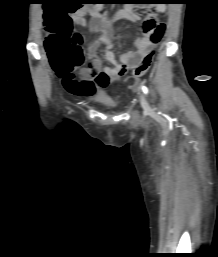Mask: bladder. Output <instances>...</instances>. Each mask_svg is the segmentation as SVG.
Returning a JSON list of instances; mask_svg holds the SVG:
<instances>
[{"label":"bladder","mask_w":218,"mask_h":257,"mask_svg":"<svg viewBox=\"0 0 218 257\" xmlns=\"http://www.w3.org/2000/svg\"><path fill=\"white\" fill-rule=\"evenodd\" d=\"M98 103H100L101 105H104L108 108H113L114 106L106 99H99Z\"/></svg>","instance_id":"obj_1"}]
</instances>
